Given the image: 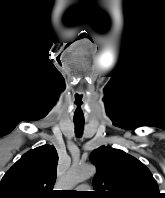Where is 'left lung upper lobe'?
I'll return each mask as SVG.
<instances>
[{"mask_svg":"<svg viewBox=\"0 0 165 198\" xmlns=\"http://www.w3.org/2000/svg\"><path fill=\"white\" fill-rule=\"evenodd\" d=\"M90 161L97 168L93 185L99 198L163 197L149 169L122 150L101 146Z\"/></svg>","mask_w":165,"mask_h":198,"instance_id":"obj_1","label":"left lung upper lobe"}]
</instances>
